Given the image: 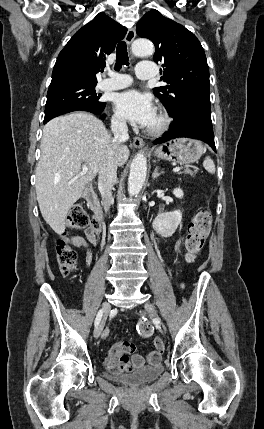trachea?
<instances>
[{
	"label": "trachea",
	"mask_w": 264,
	"mask_h": 429,
	"mask_svg": "<svg viewBox=\"0 0 264 429\" xmlns=\"http://www.w3.org/2000/svg\"><path fill=\"white\" fill-rule=\"evenodd\" d=\"M122 65H129L127 46L124 41L117 45L115 70H120Z\"/></svg>",
	"instance_id": "obj_1"
}]
</instances>
